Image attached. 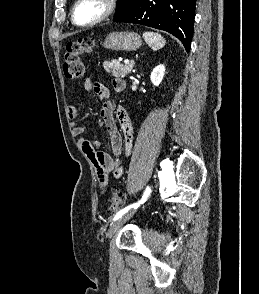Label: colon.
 Returning a JSON list of instances; mask_svg holds the SVG:
<instances>
[{
    "instance_id": "obj_1",
    "label": "colon",
    "mask_w": 259,
    "mask_h": 294,
    "mask_svg": "<svg viewBox=\"0 0 259 294\" xmlns=\"http://www.w3.org/2000/svg\"><path fill=\"white\" fill-rule=\"evenodd\" d=\"M94 47V40L90 37H81L75 41H71L66 46L63 62V72L68 79H80L85 72L82 56L90 53ZM123 196L120 190H115L108 212L114 214L121 207Z\"/></svg>"
}]
</instances>
